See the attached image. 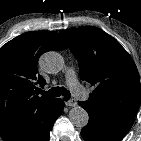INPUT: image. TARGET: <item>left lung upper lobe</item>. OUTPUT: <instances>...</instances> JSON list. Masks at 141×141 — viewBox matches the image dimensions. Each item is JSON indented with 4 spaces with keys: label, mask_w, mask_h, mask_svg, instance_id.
I'll return each mask as SVG.
<instances>
[{
    "label": "left lung upper lobe",
    "mask_w": 141,
    "mask_h": 141,
    "mask_svg": "<svg viewBox=\"0 0 141 141\" xmlns=\"http://www.w3.org/2000/svg\"><path fill=\"white\" fill-rule=\"evenodd\" d=\"M60 33L78 60L81 78L96 87L82 103L111 116L135 117L141 103L139 73L120 43L93 26Z\"/></svg>",
    "instance_id": "obj_1"
}]
</instances>
